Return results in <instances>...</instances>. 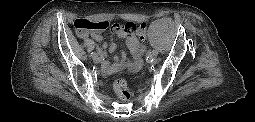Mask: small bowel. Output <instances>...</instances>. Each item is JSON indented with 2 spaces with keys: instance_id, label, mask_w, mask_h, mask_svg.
I'll list each match as a JSON object with an SVG mask.
<instances>
[{
  "instance_id": "1",
  "label": "small bowel",
  "mask_w": 255,
  "mask_h": 122,
  "mask_svg": "<svg viewBox=\"0 0 255 122\" xmlns=\"http://www.w3.org/2000/svg\"><path fill=\"white\" fill-rule=\"evenodd\" d=\"M112 33L117 34L120 38L127 39V46L131 52V60H129L126 54L123 52L120 56L115 57L112 61L104 62L103 69L107 73H116L123 70H129L131 72H136L141 67V58L145 51V46L140 42V38L136 36L135 33H128L125 29H112ZM84 38H90L93 41L100 42L102 40V35L98 31H92ZM144 39V38H143ZM117 45L112 43L109 46V51L114 52ZM104 48H107V44H104Z\"/></svg>"
}]
</instances>
